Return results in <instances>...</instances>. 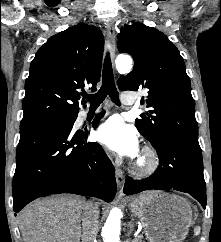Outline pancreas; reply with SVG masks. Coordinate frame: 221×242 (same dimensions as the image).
Returning <instances> with one entry per match:
<instances>
[{
    "label": "pancreas",
    "instance_id": "cf45deb5",
    "mask_svg": "<svg viewBox=\"0 0 221 242\" xmlns=\"http://www.w3.org/2000/svg\"><path fill=\"white\" fill-rule=\"evenodd\" d=\"M132 242H144V241L141 240V237H138L137 239H135V240L132 241Z\"/></svg>",
    "mask_w": 221,
    "mask_h": 242
}]
</instances>
